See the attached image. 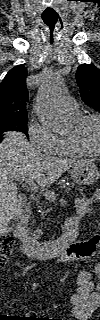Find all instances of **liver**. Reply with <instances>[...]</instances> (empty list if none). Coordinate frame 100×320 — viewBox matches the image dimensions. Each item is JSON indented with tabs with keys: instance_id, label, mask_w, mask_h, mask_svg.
Returning a JSON list of instances; mask_svg holds the SVG:
<instances>
[{
	"instance_id": "6515ba94",
	"label": "liver",
	"mask_w": 100,
	"mask_h": 320,
	"mask_svg": "<svg viewBox=\"0 0 100 320\" xmlns=\"http://www.w3.org/2000/svg\"><path fill=\"white\" fill-rule=\"evenodd\" d=\"M83 160L61 159L38 152L21 132H8L0 144V223L22 213L16 180L33 178L40 186L54 183L70 167Z\"/></svg>"
}]
</instances>
